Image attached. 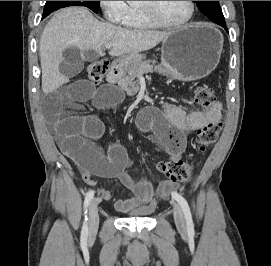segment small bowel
Segmentation results:
<instances>
[{"instance_id":"small-bowel-1","label":"small bowel","mask_w":271,"mask_h":266,"mask_svg":"<svg viewBox=\"0 0 271 266\" xmlns=\"http://www.w3.org/2000/svg\"><path fill=\"white\" fill-rule=\"evenodd\" d=\"M83 67L79 58L69 57L60 67L63 80L76 76ZM123 100L122 93L110 85L95 88L87 80L64 82L63 85L49 93L44 112L51 122L55 137L64 154L79 168L84 182L94 186V177L116 178L133 197L119 199L115 208L119 212H129L140 206H153L156 194H167L177 187V182L166 180L154 186L147 180H136L125 171L129 164L126 150L118 142H111L106 153L90 145L86 139L101 140L106 135L104 122L96 115L82 117L65 116V109L76 103L91 101L99 109H109ZM221 118V106L214 105L211 111L200 109L187 112L171 103L161 107V118L155 116V110L147 108L137 119L140 130H151L159 139L169 158H178L186 147L187 135L200 130L208 121ZM104 200H112L114 193L101 190Z\"/></svg>"}]
</instances>
